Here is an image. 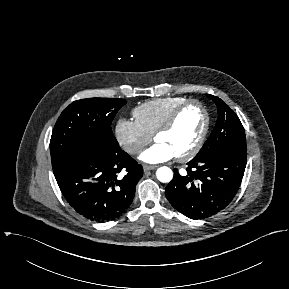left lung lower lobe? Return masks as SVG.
<instances>
[{
    "label": "left lung lower lobe",
    "instance_id": "left-lung-lower-lobe-1",
    "mask_svg": "<svg viewBox=\"0 0 289 289\" xmlns=\"http://www.w3.org/2000/svg\"><path fill=\"white\" fill-rule=\"evenodd\" d=\"M246 149L230 148L188 162L187 175L177 169L165 195L191 219H204L223 210L235 197L246 167Z\"/></svg>",
    "mask_w": 289,
    "mask_h": 289
}]
</instances>
